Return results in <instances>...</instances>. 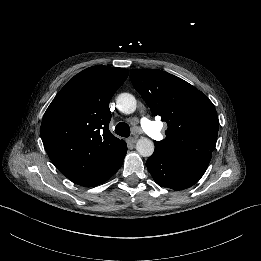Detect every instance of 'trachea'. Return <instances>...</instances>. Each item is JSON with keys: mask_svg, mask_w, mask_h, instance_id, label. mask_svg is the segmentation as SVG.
I'll return each mask as SVG.
<instances>
[{"mask_svg": "<svg viewBox=\"0 0 261 261\" xmlns=\"http://www.w3.org/2000/svg\"><path fill=\"white\" fill-rule=\"evenodd\" d=\"M115 133L122 137H129L130 136V127L125 122H120L115 127Z\"/></svg>", "mask_w": 261, "mask_h": 261, "instance_id": "1", "label": "trachea"}]
</instances>
